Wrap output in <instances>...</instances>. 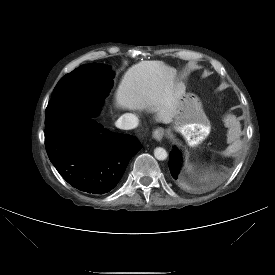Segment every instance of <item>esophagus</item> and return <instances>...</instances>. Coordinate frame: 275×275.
Here are the masks:
<instances>
[{
  "instance_id": "34e87169",
  "label": "esophagus",
  "mask_w": 275,
  "mask_h": 275,
  "mask_svg": "<svg viewBox=\"0 0 275 275\" xmlns=\"http://www.w3.org/2000/svg\"><path fill=\"white\" fill-rule=\"evenodd\" d=\"M164 129L163 128H157L154 132H153V137L157 140V141H161L164 137Z\"/></svg>"
}]
</instances>
